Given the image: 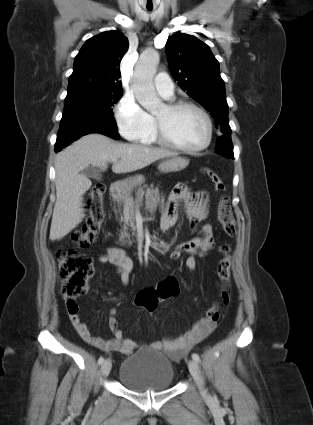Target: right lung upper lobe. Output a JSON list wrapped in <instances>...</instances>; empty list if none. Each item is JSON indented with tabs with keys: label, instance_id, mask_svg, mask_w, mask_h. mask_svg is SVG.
Returning a JSON list of instances; mask_svg holds the SVG:
<instances>
[{
	"label": "right lung upper lobe",
	"instance_id": "1",
	"mask_svg": "<svg viewBox=\"0 0 313 425\" xmlns=\"http://www.w3.org/2000/svg\"><path fill=\"white\" fill-rule=\"evenodd\" d=\"M128 46V39L118 31H106L87 40L75 57L68 94L122 91L119 64Z\"/></svg>",
	"mask_w": 313,
	"mask_h": 425
}]
</instances>
